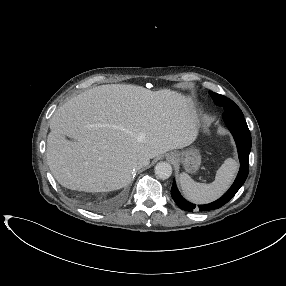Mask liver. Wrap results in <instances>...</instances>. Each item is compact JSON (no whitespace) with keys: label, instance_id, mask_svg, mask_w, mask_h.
Returning <instances> with one entry per match:
<instances>
[{"label":"liver","instance_id":"obj_1","mask_svg":"<svg viewBox=\"0 0 286 286\" xmlns=\"http://www.w3.org/2000/svg\"><path fill=\"white\" fill-rule=\"evenodd\" d=\"M197 125L192 99L181 93L131 84L101 85L55 111L47 137V164L68 189L118 190L128 184L138 165L193 143Z\"/></svg>","mask_w":286,"mask_h":286}]
</instances>
